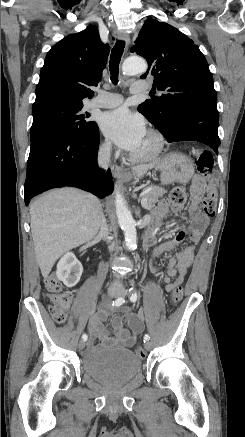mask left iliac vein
I'll return each mask as SVG.
<instances>
[{"label":"left iliac vein","instance_id":"left-iliac-vein-1","mask_svg":"<svg viewBox=\"0 0 245 437\" xmlns=\"http://www.w3.org/2000/svg\"><path fill=\"white\" fill-rule=\"evenodd\" d=\"M126 294H127L126 291H122V292H121V295H122V296H125ZM144 346H145V348H146L147 350H149V349L151 348V343L148 342V341H146V342L144 343Z\"/></svg>","mask_w":245,"mask_h":437}]
</instances>
